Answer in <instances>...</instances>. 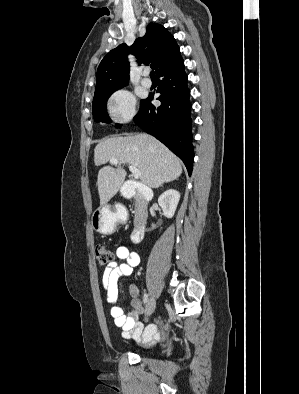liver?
I'll list each match as a JSON object with an SVG mask.
<instances>
[{
  "mask_svg": "<svg viewBox=\"0 0 299 394\" xmlns=\"http://www.w3.org/2000/svg\"><path fill=\"white\" fill-rule=\"evenodd\" d=\"M119 160L117 168L105 166L98 172L97 186L100 204L105 205L119 191L126 177L121 164L128 163L140 170L141 182L158 188L163 183L177 179L182 173L179 158L165 145L147 134L111 137L100 142L94 149L96 166Z\"/></svg>",
  "mask_w": 299,
  "mask_h": 394,
  "instance_id": "6515ba94",
  "label": "liver"
}]
</instances>
